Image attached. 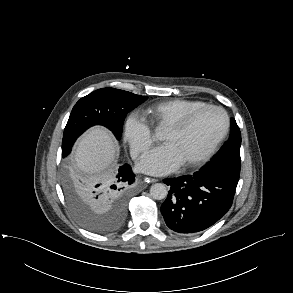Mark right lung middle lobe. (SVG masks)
Masks as SVG:
<instances>
[{"instance_id": "obj_1", "label": "right lung middle lobe", "mask_w": 293, "mask_h": 293, "mask_svg": "<svg viewBox=\"0 0 293 293\" xmlns=\"http://www.w3.org/2000/svg\"><path fill=\"white\" fill-rule=\"evenodd\" d=\"M147 98L114 88L98 89L81 98L73 107L64 130L62 156L66 157L75 140L94 125L107 127L117 140H120L126 114ZM81 183L89 181L82 180L65 169L63 188L74 217L84 227L98 233H106L119 226L122 220L98 213L84 204L81 198Z\"/></svg>"}]
</instances>
